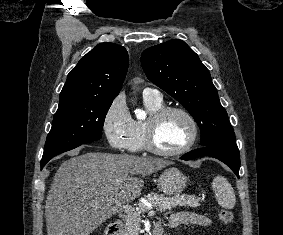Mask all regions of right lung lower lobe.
I'll use <instances>...</instances> for the list:
<instances>
[{
  "label": "right lung lower lobe",
  "instance_id": "obj_1",
  "mask_svg": "<svg viewBox=\"0 0 283 235\" xmlns=\"http://www.w3.org/2000/svg\"><path fill=\"white\" fill-rule=\"evenodd\" d=\"M47 162H48V161H47ZM47 162H41V169L43 168V166H44Z\"/></svg>",
  "mask_w": 283,
  "mask_h": 235
}]
</instances>
